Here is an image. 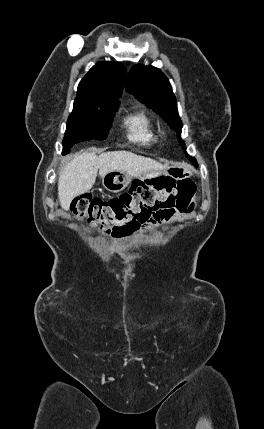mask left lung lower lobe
<instances>
[{
    "label": "left lung lower lobe",
    "instance_id": "1",
    "mask_svg": "<svg viewBox=\"0 0 264 429\" xmlns=\"http://www.w3.org/2000/svg\"><path fill=\"white\" fill-rule=\"evenodd\" d=\"M189 159H190L193 163H195V160H194L193 158H190V157H189Z\"/></svg>",
    "mask_w": 264,
    "mask_h": 429
}]
</instances>
